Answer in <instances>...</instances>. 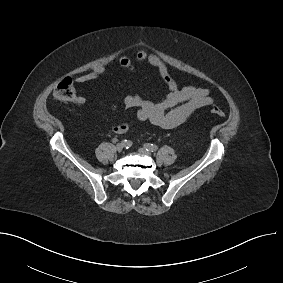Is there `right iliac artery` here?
<instances>
[{
  "label": "right iliac artery",
  "mask_w": 283,
  "mask_h": 283,
  "mask_svg": "<svg viewBox=\"0 0 283 283\" xmlns=\"http://www.w3.org/2000/svg\"><path fill=\"white\" fill-rule=\"evenodd\" d=\"M121 143L127 148H129L132 145V142L130 140H126V139L122 140Z\"/></svg>",
  "instance_id": "right-iliac-artery-1"
}]
</instances>
